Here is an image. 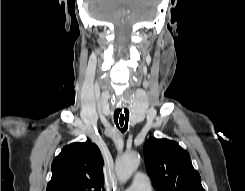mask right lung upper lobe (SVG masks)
Listing matches in <instances>:
<instances>
[{"label": "right lung upper lobe", "instance_id": "1", "mask_svg": "<svg viewBox=\"0 0 245 191\" xmlns=\"http://www.w3.org/2000/svg\"><path fill=\"white\" fill-rule=\"evenodd\" d=\"M46 191H104L99 148L91 142L65 146L53 160Z\"/></svg>", "mask_w": 245, "mask_h": 191}]
</instances>
